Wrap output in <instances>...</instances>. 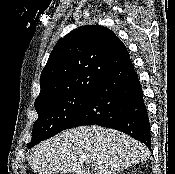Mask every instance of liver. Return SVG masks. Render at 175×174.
Wrapping results in <instances>:
<instances>
[{"mask_svg": "<svg viewBox=\"0 0 175 174\" xmlns=\"http://www.w3.org/2000/svg\"><path fill=\"white\" fill-rule=\"evenodd\" d=\"M150 155L145 145L114 129L81 126L63 131L34 147L28 164L38 174H90L85 163H94L95 174H119Z\"/></svg>", "mask_w": 175, "mask_h": 174, "instance_id": "1", "label": "liver"}]
</instances>
